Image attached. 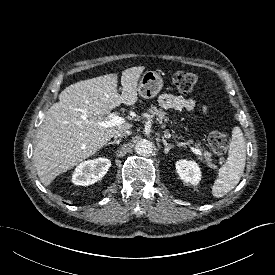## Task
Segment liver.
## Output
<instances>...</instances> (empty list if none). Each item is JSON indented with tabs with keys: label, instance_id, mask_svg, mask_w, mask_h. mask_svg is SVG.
Returning a JSON list of instances; mask_svg holds the SVG:
<instances>
[{
	"label": "liver",
	"instance_id": "6515ba94",
	"mask_svg": "<svg viewBox=\"0 0 275 275\" xmlns=\"http://www.w3.org/2000/svg\"><path fill=\"white\" fill-rule=\"evenodd\" d=\"M144 69L138 66L122 72L121 94L115 73L79 81L60 93L59 102L48 109L37 131L33 152L37 174L45 186L95 154L119 131L133 126L124 122L103 127L100 123L112 109L137 102L138 80Z\"/></svg>",
	"mask_w": 275,
	"mask_h": 275
}]
</instances>
